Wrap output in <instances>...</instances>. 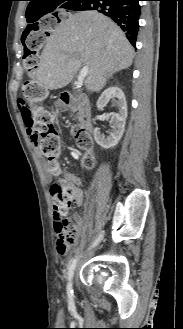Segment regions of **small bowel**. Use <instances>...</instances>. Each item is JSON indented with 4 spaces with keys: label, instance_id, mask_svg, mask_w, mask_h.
<instances>
[{
    "label": "small bowel",
    "instance_id": "obj_1",
    "mask_svg": "<svg viewBox=\"0 0 183 329\" xmlns=\"http://www.w3.org/2000/svg\"><path fill=\"white\" fill-rule=\"evenodd\" d=\"M19 104H20V107H22L23 103H19ZM22 116H23L24 123L27 127V133L30 136L32 143L34 144L35 142L32 138V132H31V129H30L29 123H28L29 114H22ZM65 180L74 182V183L78 182V179L74 175L69 174V173L65 174ZM74 196H75V204L80 206L84 201V193L80 187L74 186ZM73 226L75 227L76 231H78V232L83 228V222L79 215L75 214L73 216ZM54 229L57 234V240H56L57 251L60 255H65L67 253L68 246L72 243H69L67 241L66 233L61 225V222L56 218H54Z\"/></svg>",
    "mask_w": 183,
    "mask_h": 329
}]
</instances>
